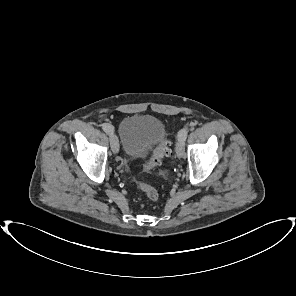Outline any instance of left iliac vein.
<instances>
[{"instance_id": "1", "label": "left iliac vein", "mask_w": 296, "mask_h": 296, "mask_svg": "<svg viewBox=\"0 0 296 296\" xmlns=\"http://www.w3.org/2000/svg\"><path fill=\"white\" fill-rule=\"evenodd\" d=\"M184 140L182 139H178L177 143H176V155L178 158H182L184 156Z\"/></svg>"}]
</instances>
